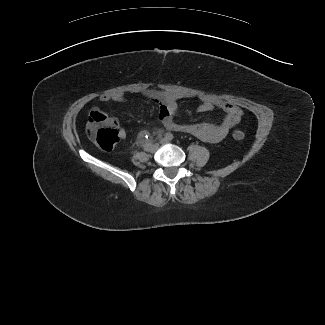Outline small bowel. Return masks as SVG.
<instances>
[{"mask_svg": "<svg viewBox=\"0 0 325 325\" xmlns=\"http://www.w3.org/2000/svg\"><path fill=\"white\" fill-rule=\"evenodd\" d=\"M141 94L147 100L153 101L159 105V118L163 123L164 129L175 132H183L196 136L197 138L209 142L217 143L227 136L230 129L233 128L241 119L242 111L236 105L217 99L208 95H195L189 92L178 90H158L144 89ZM197 98L200 101L198 111L208 112L218 108L225 113L224 119L219 124L208 122L202 123H179L175 120V114L178 106L177 102L183 99ZM98 100L100 102H127L126 95L121 91H108L102 93ZM99 111L98 107H93L90 112ZM120 136L125 138L126 132L122 128L119 131Z\"/></svg>", "mask_w": 325, "mask_h": 325, "instance_id": "obj_1", "label": "small bowel"}]
</instances>
